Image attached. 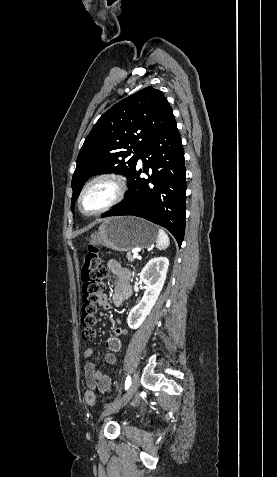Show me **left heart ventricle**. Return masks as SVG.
<instances>
[{"instance_id": "left-heart-ventricle-1", "label": "left heart ventricle", "mask_w": 277, "mask_h": 477, "mask_svg": "<svg viewBox=\"0 0 277 477\" xmlns=\"http://www.w3.org/2000/svg\"><path fill=\"white\" fill-rule=\"evenodd\" d=\"M114 187L110 182L102 181L93 185L83 198V209L92 212L105 205L113 196Z\"/></svg>"}]
</instances>
